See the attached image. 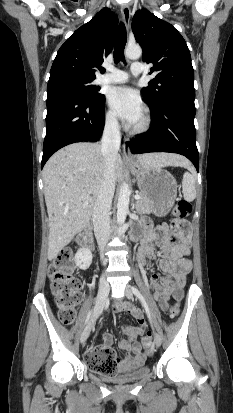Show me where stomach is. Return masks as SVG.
<instances>
[{
    "label": "stomach",
    "instance_id": "0dacf381",
    "mask_svg": "<svg viewBox=\"0 0 233 413\" xmlns=\"http://www.w3.org/2000/svg\"><path fill=\"white\" fill-rule=\"evenodd\" d=\"M130 169L137 178L141 193L154 206V213L158 216L168 214L177 197L175 178L162 168H146L138 162L130 164Z\"/></svg>",
    "mask_w": 233,
    "mask_h": 413
}]
</instances>
